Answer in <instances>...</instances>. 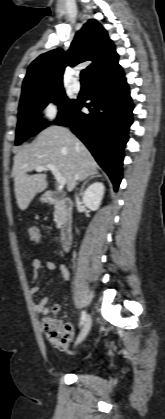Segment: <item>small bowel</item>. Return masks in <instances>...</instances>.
I'll return each instance as SVG.
<instances>
[{"label": "small bowel", "instance_id": "1", "mask_svg": "<svg viewBox=\"0 0 165 419\" xmlns=\"http://www.w3.org/2000/svg\"><path fill=\"white\" fill-rule=\"evenodd\" d=\"M31 269H32V276H31L32 284L29 288V292L32 295L36 294L40 289V284L38 283V279L40 276V272L43 270L55 271L56 269H58L64 281H68L70 279V273L67 267L62 263L57 264L55 261H52V260H47L46 262L42 263V261L39 258L35 257L33 258L31 262ZM49 304H50V298L48 296H44L35 304V310L39 314L47 315ZM69 343L64 344V345H56V348L60 352H65L69 348Z\"/></svg>", "mask_w": 165, "mask_h": 419}]
</instances>
